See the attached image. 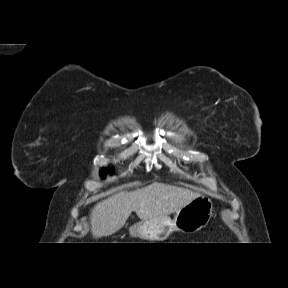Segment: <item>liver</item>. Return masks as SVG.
Listing matches in <instances>:
<instances>
[{"label": "liver", "instance_id": "1", "mask_svg": "<svg viewBox=\"0 0 288 288\" xmlns=\"http://www.w3.org/2000/svg\"><path fill=\"white\" fill-rule=\"evenodd\" d=\"M199 194L181 187L154 182L130 192H119L97 203L90 216L95 238L120 230L133 211L142 221L168 216L187 205Z\"/></svg>", "mask_w": 288, "mask_h": 288}]
</instances>
